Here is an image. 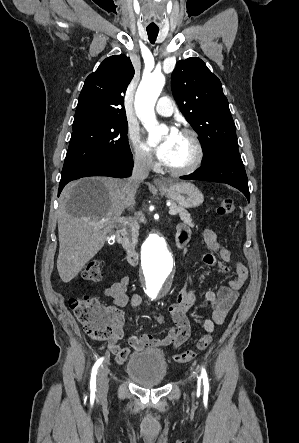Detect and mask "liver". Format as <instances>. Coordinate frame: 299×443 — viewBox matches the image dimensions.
Instances as JSON below:
<instances>
[{"mask_svg":"<svg viewBox=\"0 0 299 443\" xmlns=\"http://www.w3.org/2000/svg\"><path fill=\"white\" fill-rule=\"evenodd\" d=\"M125 182L107 177L87 178L63 189L58 211L57 270L64 283L75 278L101 250L121 214L135 205V201L125 197ZM106 218L111 221L101 228L93 225Z\"/></svg>","mask_w":299,"mask_h":443,"instance_id":"liver-1","label":"liver"}]
</instances>
